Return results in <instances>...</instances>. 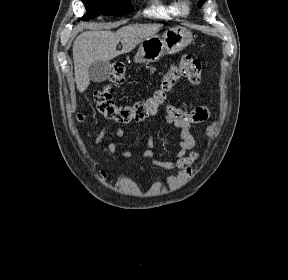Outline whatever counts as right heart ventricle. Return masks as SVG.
<instances>
[{"mask_svg": "<svg viewBox=\"0 0 288 280\" xmlns=\"http://www.w3.org/2000/svg\"><path fill=\"white\" fill-rule=\"evenodd\" d=\"M147 16L159 19H174L180 15L176 0H153L144 12Z\"/></svg>", "mask_w": 288, "mask_h": 280, "instance_id": "obj_1", "label": "right heart ventricle"}]
</instances>
